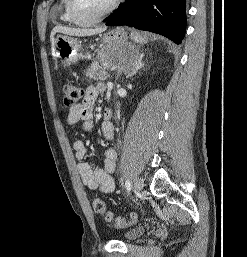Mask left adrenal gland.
I'll return each instance as SVG.
<instances>
[{
	"label": "left adrenal gland",
	"instance_id": "a2214340",
	"mask_svg": "<svg viewBox=\"0 0 247 257\" xmlns=\"http://www.w3.org/2000/svg\"><path fill=\"white\" fill-rule=\"evenodd\" d=\"M142 57H143V54L140 55L137 66L131 72H128L126 78L132 77L133 75H135L137 73V71L139 69L143 68L144 63L142 62Z\"/></svg>",
	"mask_w": 247,
	"mask_h": 257
}]
</instances>
